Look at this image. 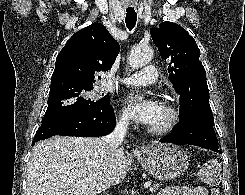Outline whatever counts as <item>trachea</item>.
I'll return each mask as SVG.
<instances>
[{"mask_svg": "<svg viewBox=\"0 0 245 195\" xmlns=\"http://www.w3.org/2000/svg\"><path fill=\"white\" fill-rule=\"evenodd\" d=\"M126 12V26L129 30H132L136 25L137 13L135 12L134 8H127Z\"/></svg>", "mask_w": 245, "mask_h": 195, "instance_id": "trachea-1", "label": "trachea"}]
</instances>
